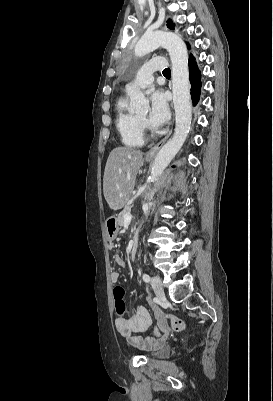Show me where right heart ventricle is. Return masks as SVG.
<instances>
[{
  "label": "right heart ventricle",
  "mask_w": 273,
  "mask_h": 401,
  "mask_svg": "<svg viewBox=\"0 0 273 401\" xmlns=\"http://www.w3.org/2000/svg\"><path fill=\"white\" fill-rule=\"evenodd\" d=\"M128 99L120 96L115 102V125L123 144L141 147L144 142L142 127L137 116L128 110Z\"/></svg>",
  "instance_id": "right-heart-ventricle-1"
}]
</instances>
